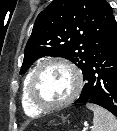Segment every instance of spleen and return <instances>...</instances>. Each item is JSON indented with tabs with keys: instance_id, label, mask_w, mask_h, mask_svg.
I'll return each mask as SVG.
<instances>
[{
	"instance_id": "obj_1",
	"label": "spleen",
	"mask_w": 117,
	"mask_h": 131,
	"mask_svg": "<svg viewBox=\"0 0 117 131\" xmlns=\"http://www.w3.org/2000/svg\"><path fill=\"white\" fill-rule=\"evenodd\" d=\"M86 107L94 113L92 131H117V119L111 112L94 104Z\"/></svg>"
}]
</instances>
